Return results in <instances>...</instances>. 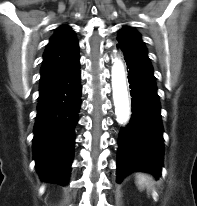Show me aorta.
Segmentation results:
<instances>
[{"label":"aorta","instance_id":"762f6f07","mask_svg":"<svg viewBox=\"0 0 197 206\" xmlns=\"http://www.w3.org/2000/svg\"><path fill=\"white\" fill-rule=\"evenodd\" d=\"M112 62L111 81L115 114L118 123L126 124L130 115V104L125 69L120 57L115 56V58H112Z\"/></svg>","mask_w":197,"mask_h":206}]
</instances>
